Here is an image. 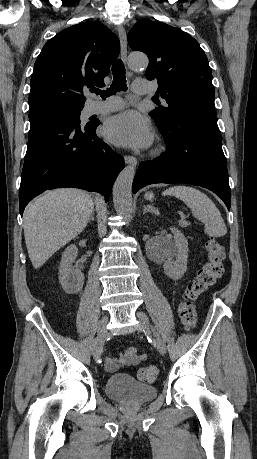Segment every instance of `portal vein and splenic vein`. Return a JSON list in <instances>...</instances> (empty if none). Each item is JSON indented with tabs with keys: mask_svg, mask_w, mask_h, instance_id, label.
I'll return each instance as SVG.
<instances>
[{
	"mask_svg": "<svg viewBox=\"0 0 257 459\" xmlns=\"http://www.w3.org/2000/svg\"><path fill=\"white\" fill-rule=\"evenodd\" d=\"M180 224H184V225H186V224H187V222H186V221H184V220H181V221H180Z\"/></svg>",
	"mask_w": 257,
	"mask_h": 459,
	"instance_id": "18ae733b",
	"label": "portal vein and splenic vein"
}]
</instances>
